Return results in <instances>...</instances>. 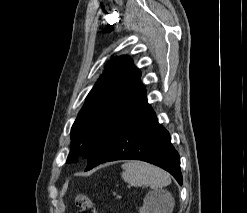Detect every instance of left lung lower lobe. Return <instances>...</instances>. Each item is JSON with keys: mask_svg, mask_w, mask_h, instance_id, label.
I'll list each match as a JSON object with an SVG mask.
<instances>
[{"mask_svg": "<svg viewBox=\"0 0 247 213\" xmlns=\"http://www.w3.org/2000/svg\"><path fill=\"white\" fill-rule=\"evenodd\" d=\"M146 90L98 139L87 158L86 171L114 160L135 159L157 165L182 185L180 158L168 131L147 103Z\"/></svg>", "mask_w": 247, "mask_h": 213, "instance_id": "0a47b994", "label": "left lung lower lobe"}]
</instances>
